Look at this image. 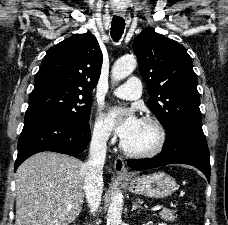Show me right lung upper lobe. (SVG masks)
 Masks as SVG:
<instances>
[{
  "label": "right lung upper lobe",
  "instance_id": "obj_1",
  "mask_svg": "<svg viewBox=\"0 0 228 225\" xmlns=\"http://www.w3.org/2000/svg\"><path fill=\"white\" fill-rule=\"evenodd\" d=\"M102 59L93 34H75L47 51L34 85L56 82L89 92L100 77Z\"/></svg>",
  "mask_w": 228,
  "mask_h": 225
}]
</instances>
